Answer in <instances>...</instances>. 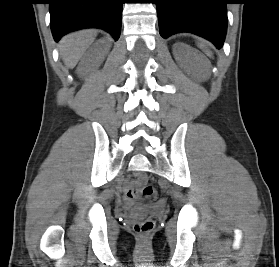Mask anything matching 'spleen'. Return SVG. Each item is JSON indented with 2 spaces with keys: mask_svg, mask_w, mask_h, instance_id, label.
Masks as SVG:
<instances>
[{
  "mask_svg": "<svg viewBox=\"0 0 279 267\" xmlns=\"http://www.w3.org/2000/svg\"><path fill=\"white\" fill-rule=\"evenodd\" d=\"M199 46H200V48H205V45L203 43H200ZM205 52L209 54L208 50H206Z\"/></svg>",
  "mask_w": 279,
  "mask_h": 267,
  "instance_id": "spleen-1",
  "label": "spleen"
}]
</instances>
